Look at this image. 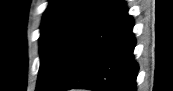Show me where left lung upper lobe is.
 Instances as JSON below:
<instances>
[{"mask_svg":"<svg viewBox=\"0 0 173 91\" xmlns=\"http://www.w3.org/2000/svg\"><path fill=\"white\" fill-rule=\"evenodd\" d=\"M116 0H50L42 24L36 91H51L72 55Z\"/></svg>","mask_w":173,"mask_h":91,"instance_id":"left-lung-upper-lobe-1","label":"left lung upper lobe"}]
</instances>
